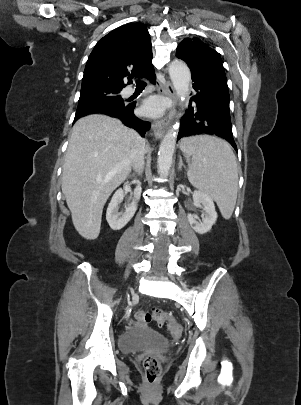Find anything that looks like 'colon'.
I'll return each instance as SVG.
<instances>
[{
	"label": "colon",
	"mask_w": 301,
	"mask_h": 405,
	"mask_svg": "<svg viewBox=\"0 0 301 405\" xmlns=\"http://www.w3.org/2000/svg\"><path fill=\"white\" fill-rule=\"evenodd\" d=\"M135 319L140 323L155 321L159 325L168 322L170 332L174 337H180L182 334L181 325L161 309H154L151 312L138 311L135 313ZM143 367L147 382L150 384L155 383L162 372V365L159 359L155 355L149 354L143 360Z\"/></svg>",
	"instance_id": "colon-1"
}]
</instances>
